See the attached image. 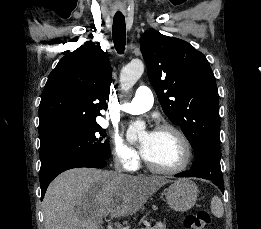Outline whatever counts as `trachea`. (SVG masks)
Instances as JSON below:
<instances>
[{
    "mask_svg": "<svg viewBox=\"0 0 261 229\" xmlns=\"http://www.w3.org/2000/svg\"><path fill=\"white\" fill-rule=\"evenodd\" d=\"M113 42L118 53H124L126 44V24L124 16L113 18Z\"/></svg>",
    "mask_w": 261,
    "mask_h": 229,
    "instance_id": "trachea-1",
    "label": "trachea"
}]
</instances>
